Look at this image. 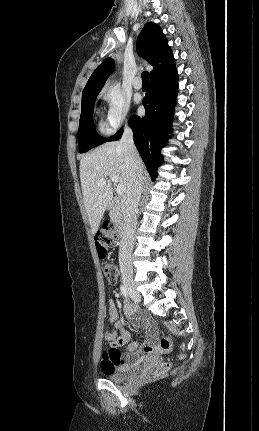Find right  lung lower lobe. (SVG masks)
Here are the masks:
<instances>
[{
  "mask_svg": "<svg viewBox=\"0 0 259 431\" xmlns=\"http://www.w3.org/2000/svg\"><path fill=\"white\" fill-rule=\"evenodd\" d=\"M177 81L178 74L175 65L165 72L153 76L143 100L145 116L134 115L129 122L133 130L135 145L152 180L156 178L157 167L163 160L160 151L166 145L167 133L170 132L178 90ZM122 133L123 130L120 129L106 141H116L121 138Z\"/></svg>",
  "mask_w": 259,
  "mask_h": 431,
  "instance_id": "obj_1",
  "label": "right lung lower lobe"
}]
</instances>
